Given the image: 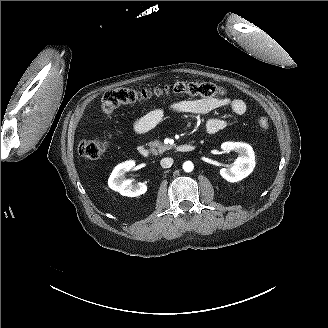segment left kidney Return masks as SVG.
I'll return each mask as SVG.
<instances>
[{"label":"left kidney","instance_id":"1","mask_svg":"<svg viewBox=\"0 0 328 328\" xmlns=\"http://www.w3.org/2000/svg\"><path fill=\"white\" fill-rule=\"evenodd\" d=\"M221 149L225 153L235 151L239 154V158L231 169L222 168L219 170L223 179L235 183L245 179L253 172L256 165L255 154L249 144L227 141L221 144Z\"/></svg>","mask_w":328,"mask_h":328}]
</instances>
